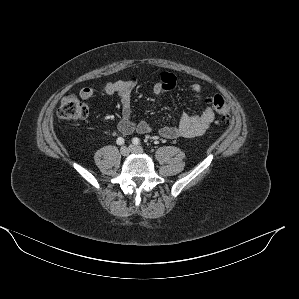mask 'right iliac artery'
I'll return each mask as SVG.
<instances>
[{
  "label": "right iliac artery",
  "instance_id": "obj_1",
  "mask_svg": "<svg viewBox=\"0 0 299 299\" xmlns=\"http://www.w3.org/2000/svg\"><path fill=\"white\" fill-rule=\"evenodd\" d=\"M116 143L118 145H122V144H124V139L122 137H118L117 140H116Z\"/></svg>",
  "mask_w": 299,
  "mask_h": 299
}]
</instances>
